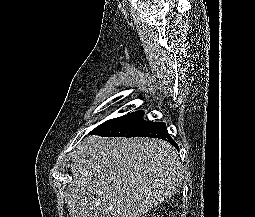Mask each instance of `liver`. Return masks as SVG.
Segmentation results:
<instances>
[{
    "label": "liver",
    "instance_id": "1",
    "mask_svg": "<svg viewBox=\"0 0 255 217\" xmlns=\"http://www.w3.org/2000/svg\"><path fill=\"white\" fill-rule=\"evenodd\" d=\"M70 167V217H141L183 182L175 148L152 138L90 136L76 146Z\"/></svg>",
    "mask_w": 255,
    "mask_h": 217
}]
</instances>
